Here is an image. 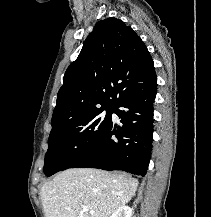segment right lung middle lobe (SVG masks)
<instances>
[{"mask_svg":"<svg viewBox=\"0 0 211 217\" xmlns=\"http://www.w3.org/2000/svg\"><path fill=\"white\" fill-rule=\"evenodd\" d=\"M112 113L113 109H99L52 128L44 173L51 176L85 157L107 133Z\"/></svg>","mask_w":211,"mask_h":217,"instance_id":"right-lung-middle-lobe-1","label":"right lung middle lobe"}]
</instances>
